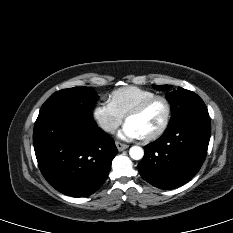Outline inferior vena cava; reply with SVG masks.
<instances>
[{"label":"inferior vena cava","mask_w":233,"mask_h":233,"mask_svg":"<svg viewBox=\"0 0 233 233\" xmlns=\"http://www.w3.org/2000/svg\"><path fill=\"white\" fill-rule=\"evenodd\" d=\"M107 131H110V132H114V130H115V127H107V129H106Z\"/></svg>","instance_id":"1"}]
</instances>
